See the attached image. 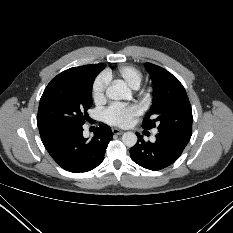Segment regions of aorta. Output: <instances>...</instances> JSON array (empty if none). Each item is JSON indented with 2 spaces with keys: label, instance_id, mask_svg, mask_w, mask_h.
<instances>
[{
  "label": "aorta",
  "instance_id": "1",
  "mask_svg": "<svg viewBox=\"0 0 233 233\" xmlns=\"http://www.w3.org/2000/svg\"><path fill=\"white\" fill-rule=\"evenodd\" d=\"M106 96L112 100H130L132 93L123 81H115L107 88ZM122 142L127 147H133L137 143V136L133 132H126L122 135Z\"/></svg>",
  "mask_w": 233,
  "mask_h": 233
}]
</instances>
